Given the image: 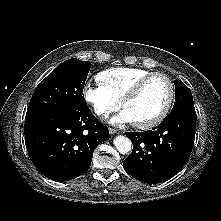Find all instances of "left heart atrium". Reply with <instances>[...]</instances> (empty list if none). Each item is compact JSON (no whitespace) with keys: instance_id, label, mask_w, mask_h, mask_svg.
Instances as JSON below:
<instances>
[{"instance_id":"39dd6f15","label":"left heart atrium","mask_w":221,"mask_h":221,"mask_svg":"<svg viewBox=\"0 0 221 221\" xmlns=\"http://www.w3.org/2000/svg\"><path fill=\"white\" fill-rule=\"evenodd\" d=\"M132 122H133V118L126 109H124L117 116L111 119V123H114V124L132 123Z\"/></svg>"}]
</instances>
